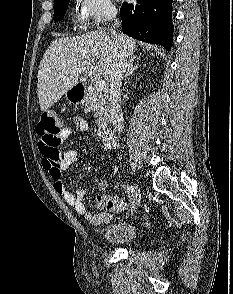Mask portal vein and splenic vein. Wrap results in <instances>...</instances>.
<instances>
[{
	"label": "portal vein and splenic vein",
	"mask_w": 233,
	"mask_h": 294,
	"mask_svg": "<svg viewBox=\"0 0 233 294\" xmlns=\"http://www.w3.org/2000/svg\"><path fill=\"white\" fill-rule=\"evenodd\" d=\"M94 86L98 92H102L105 89V81L103 79H96Z\"/></svg>",
	"instance_id": "18ae733b"
}]
</instances>
